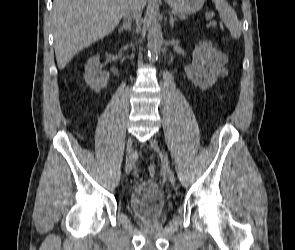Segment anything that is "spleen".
Wrapping results in <instances>:
<instances>
[{
	"mask_svg": "<svg viewBox=\"0 0 295 250\" xmlns=\"http://www.w3.org/2000/svg\"><path fill=\"white\" fill-rule=\"evenodd\" d=\"M220 17L229 29L234 39L241 36V26L234 9L225 0H212Z\"/></svg>",
	"mask_w": 295,
	"mask_h": 250,
	"instance_id": "spleen-1",
	"label": "spleen"
}]
</instances>
